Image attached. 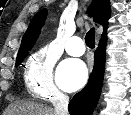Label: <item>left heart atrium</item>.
I'll return each instance as SVG.
<instances>
[{
    "instance_id": "obj_1",
    "label": "left heart atrium",
    "mask_w": 131,
    "mask_h": 115,
    "mask_svg": "<svg viewBox=\"0 0 131 115\" xmlns=\"http://www.w3.org/2000/svg\"><path fill=\"white\" fill-rule=\"evenodd\" d=\"M88 76V69L80 60H64L57 71V81L61 88L68 92L75 91L83 86Z\"/></svg>"
}]
</instances>
